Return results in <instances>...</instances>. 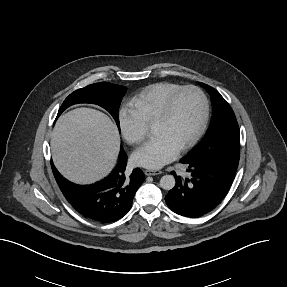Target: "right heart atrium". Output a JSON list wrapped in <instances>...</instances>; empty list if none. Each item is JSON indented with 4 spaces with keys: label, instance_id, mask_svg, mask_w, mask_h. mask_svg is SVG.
<instances>
[{
    "label": "right heart atrium",
    "instance_id": "obj_1",
    "mask_svg": "<svg viewBox=\"0 0 287 287\" xmlns=\"http://www.w3.org/2000/svg\"><path fill=\"white\" fill-rule=\"evenodd\" d=\"M118 123L123 138L130 144L141 143L147 135V125L131 108L122 107L118 113Z\"/></svg>",
    "mask_w": 287,
    "mask_h": 287
}]
</instances>
